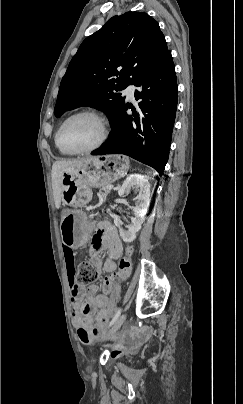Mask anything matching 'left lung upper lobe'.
<instances>
[{
  "instance_id": "obj_1",
  "label": "left lung upper lobe",
  "mask_w": 243,
  "mask_h": 404,
  "mask_svg": "<svg viewBox=\"0 0 243 404\" xmlns=\"http://www.w3.org/2000/svg\"><path fill=\"white\" fill-rule=\"evenodd\" d=\"M168 52L158 22L147 13L112 17L82 42L70 61L60 84L55 116L91 106L115 123L125 107L124 97L116 91L135 84Z\"/></svg>"
}]
</instances>
